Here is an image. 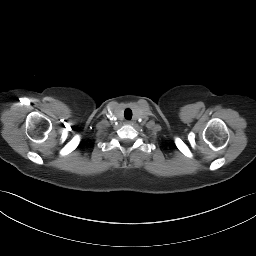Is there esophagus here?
I'll use <instances>...</instances> for the list:
<instances>
[{
  "instance_id": "1",
  "label": "esophagus",
  "mask_w": 256,
  "mask_h": 256,
  "mask_svg": "<svg viewBox=\"0 0 256 256\" xmlns=\"http://www.w3.org/2000/svg\"><path fill=\"white\" fill-rule=\"evenodd\" d=\"M126 123H127V124H131V121L128 120V121H126Z\"/></svg>"
}]
</instances>
